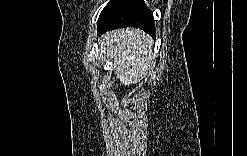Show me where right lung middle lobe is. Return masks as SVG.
<instances>
[{
    "mask_svg": "<svg viewBox=\"0 0 247 156\" xmlns=\"http://www.w3.org/2000/svg\"><path fill=\"white\" fill-rule=\"evenodd\" d=\"M113 0H111L107 5H106V7L112 2ZM106 7L103 9V11L106 9ZM102 11V12H103Z\"/></svg>",
    "mask_w": 247,
    "mask_h": 156,
    "instance_id": "right-lung-middle-lobe-1",
    "label": "right lung middle lobe"
}]
</instances>
